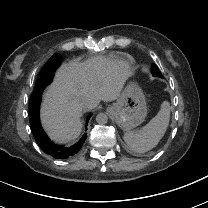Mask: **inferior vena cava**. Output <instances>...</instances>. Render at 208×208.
I'll return each mask as SVG.
<instances>
[{"instance_id": "obj_1", "label": "inferior vena cava", "mask_w": 208, "mask_h": 208, "mask_svg": "<svg viewBox=\"0 0 208 208\" xmlns=\"http://www.w3.org/2000/svg\"><path fill=\"white\" fill-rule=\"evenodd\" d=\"M86 105H87L86 102H82V103H81V106H82V107H85Z\"/></svg>"}]
</instances>
